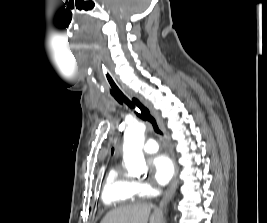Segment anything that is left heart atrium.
Returning a JSON list of instances; mask_svg holds the SVG:
<instances>
[{
  "mask_svg": "<svg viewBox=\"0 0 267 223\" xmlns=\"http://www.w3.org/2000/svg\"><path fill=\"white\" fill-rule=\"evenodd\" d=\"M153 179L159 185L169 182L175 172V164L168 154H158L151 160Z\"/></svg>",
  "mask_w": 267,
  "mask_h": 223,
  "instance_id": "left-heart-atrium-1",
  "label": "left heart atrium"
}]
</instances>
